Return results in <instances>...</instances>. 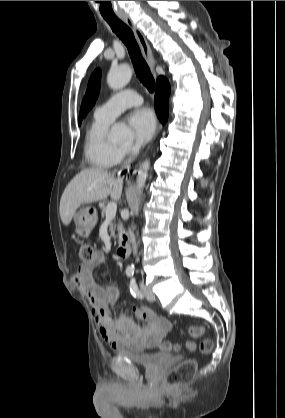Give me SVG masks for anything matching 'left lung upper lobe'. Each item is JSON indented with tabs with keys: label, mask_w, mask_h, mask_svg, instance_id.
<instances>
[{
	"label": "left lung upper lobe",
	"mask_w": 285,
	"mask_h": 418,
	"mask_svg": "<svg viewBox=\"0 0 285 418\" xmlns=\"http://www.w3.org/2000/svg\"><path fill=\"white\" fill-rule=\"evenodd\" d=\"M99 89H100V70H95L89 80L87 92L82 102V106L80 110L81 118L84 117L95 104L96 99L99 95ZM80 122H81V119L79 123Z\"/></svg>",
	"instance_id": "5c2ea615"
}]
</instances>
